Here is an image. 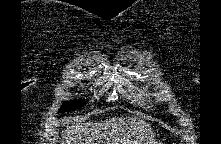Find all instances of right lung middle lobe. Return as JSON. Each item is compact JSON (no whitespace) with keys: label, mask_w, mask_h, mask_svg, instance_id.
I'll return each mask as SVG.
<instances>
[{"label":"right lung middle lobe","mask_w":221,"mask_h":144,"mask_svg":"<svg viewBox=\"0 0 221 144\" xmlns=\"http://www.w3.org/2000/svg\"><path fill=\"white\" fill-rule=\"evenodd\" d=\"M84 104H85V101L83 100L67 101L62 104V107L60 108L59 112L63 113L66 111L74 110L76 108H79L80 106H83Z\"/></svg>","instance_id":"right-lung-middle-lobe-1"}]
</instances>
